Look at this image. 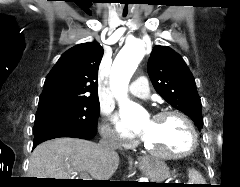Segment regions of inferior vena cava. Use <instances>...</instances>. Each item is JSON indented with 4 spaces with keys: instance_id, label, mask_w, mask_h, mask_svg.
Segmentation results:
<instances>
[{
    "instance_id": "602c4592",
    "label": "inferior vena cava",
    "mask_w": 240,
    "mask_h": 187,
    "mask_svg": "<svg viewBox=\"0 0 240 187\" xmlns=\"http://www.w3.org/2000/svg\"><path fill=\"white\" fill-rule=\"evenodd\" d=\"M99 146L104 153L113 155L116 153L115 151L119 148L120 145L117 142L115 136L107 133L104 134L103 138L100 140Z\"/></svg>"
}]
</instances>
